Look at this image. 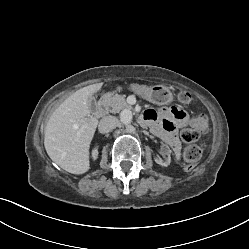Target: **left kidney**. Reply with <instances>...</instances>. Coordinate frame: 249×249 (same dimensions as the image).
<instances>
[{
  "label": "left kidney",
  "instance_id": "1",
  "mask_svg": "<svg viewBox=\"0 0 249 249\" xmlns=\"http://www.w3.org/2000/svg\"><path fill=\"white\" fill-rule=\"evenodd\" d=\"M171 150L166 145L159 147V152L152 155V161L161 166L167 167L171 161Z\"/></svg>",
  "mask_w": 249,
  "mask_h": 249
}]
</instances>
